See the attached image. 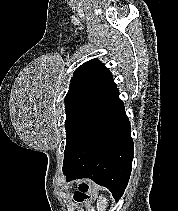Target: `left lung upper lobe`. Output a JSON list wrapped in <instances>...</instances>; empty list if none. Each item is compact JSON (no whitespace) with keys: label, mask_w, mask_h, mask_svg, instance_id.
Segmentation results:
<instances>
[{"label":"left lung upper lobe","mask_w":178,"mask_h":211,"mask_svg":"<svg viewBox=\"0 0 178 211\" xmlns=\"http://www.w3.org/2000/svg\"><path fill=\"white\" fill-rule=\"evenodd\" d=\"M116 89L110 71L98 59L83 63L74 72L64 99L67 138L64 161L103 114Z\"/></svg>","instance_id":"obj_1"}]
</instances>
